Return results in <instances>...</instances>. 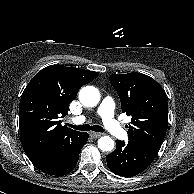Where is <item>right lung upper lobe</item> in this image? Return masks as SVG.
I'll return each instance as SVG.
<instances>
[{
  "instance_id": "1",
  "label": "right lung upper lobe",
  "mask_w": 194,
  "mask_h": 194,
  "mask_svg": "<svg viewBox=\"0 0 194 194\" xmlns=\"http://www.w3.org/2000/svg\"><path fill=\"white\" fill-rule=\"evenodd\" d=\"M98 75L76 67L50 65L28 83L21 96L19 127L23 148L35 166L81 133L62 126L58 118L67 115L79 89Z\"/></svg>"
}]
</instances>
